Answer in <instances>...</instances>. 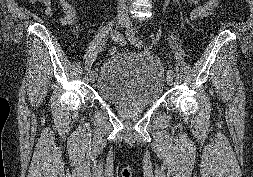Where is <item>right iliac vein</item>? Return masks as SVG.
<instances>
[{
  "label": "right iliac vein",
  "instance_id": "63e3f726",
  "mask_svg": "<svg viewBox=\"0 0 253 177\" xmlns=\"http://www.w3.org/2000/svg\"><path fill=\"white\" fill-rule=\"evenodd\" d=\"M116 20H117V23L120 27L125 25L126 17H125L124 11L122 9H119L117 11ZM96 78H97V74L95 72L90 73V82L91 83H94Z\"/></svg>",
  "mask_w": 253,
  "mask_h": 177
}]
</instances>
